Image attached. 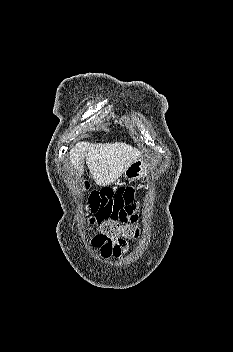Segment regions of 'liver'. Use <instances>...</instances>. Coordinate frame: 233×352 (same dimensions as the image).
<instances>
[{"label":"liver","mask_w":233,"mask_h":352,"mask_svg":"<svg viewBox=\"0 0 233 352\" xmlns=\"http://www.w3.org/2000/svg\"><path fill=\"white\" fill-rule=\"evenodd\" d=\"M142 152L126 143L90 144L77 143L69 152L70 162L77 174L84 171L83 160L86 158L92 178L98 185L114 183Z\"/></svg>","instance_id":"liver-1"}]
</instances>
